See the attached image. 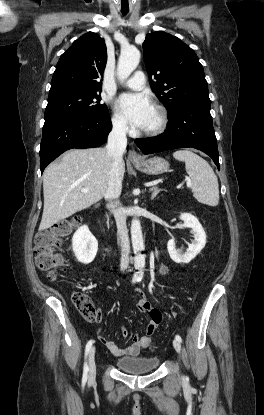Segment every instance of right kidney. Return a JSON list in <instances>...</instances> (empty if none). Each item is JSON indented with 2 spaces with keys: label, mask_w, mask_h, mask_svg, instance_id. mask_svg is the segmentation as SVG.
<instances>
[{
  "label": "right kidney",
  "mask_w": 264,
  "mask_h": 415,
  "mask_svg": "<svg viewBox=\"0 0 264 415\" xmlns=\"http://www.w3.org/2000/svg\"><path fill=\"white\" fill-rule=\"evenodd\" d=\"M72 249L76 259L83 263H91L98 251V241L87 225L77 229L72 238Z\"/></svg>",
  "instance_id": "ca27d5eb"
}]
</instances>
